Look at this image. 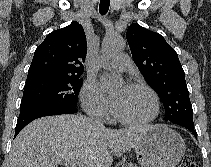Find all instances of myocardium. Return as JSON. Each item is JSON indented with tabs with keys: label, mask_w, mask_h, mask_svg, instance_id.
Returning a JSON list of instances; mask_svg holds the SVG:
<instances>
[{
	"label": "myocardium",
	"mask_w": 211,
	"mask_h": 167,
	"mask_svg": "<svg viewBox=\"0 0 211 167\" xmlns=\"http://www.w3.org/2000/svg\"><path fill=\"white\" fill-rule=\"evenodd\" d=\"M129 87L134 88V89H141V90L148 92L153 99L154 111L150 117H148L147 119H144V120L126 119V118H123L122 116H120L117 112H115L116 119L120 123H122L124 125H129V126H143V125H147V124L153 122L158 117L159 112H160V101H159L158 94L155 92V90L153 88H151L149 85L142 83V82H132L129 84Z\"/></svg>",
	"instance_id": "1"
}]
</instances>
